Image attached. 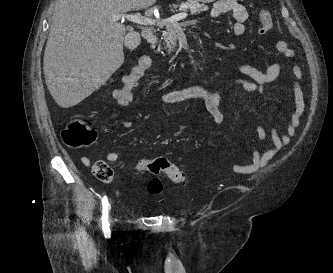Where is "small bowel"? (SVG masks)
Instances as JSON below:
<instances>
[{
	"mask_svg": "<svg viewBox=\"0 0 333 273\" xmlns=\"http://www.w3.org/2000/svg\"><path fill=\"white\" fill-rule=\"evenodd\" d=\"M227 13H231L234 18L230 25L231 32L235 35H243L247 30L246 21L249 17L248 9L240 0H218L213 4L211 9V16L213 18H219ZM276 49L287 59H293L295 57V51L290 48L288 43L284 40H279L276 43ZM140 59L148 58L142 57ZM150 68V62L133 63L131 70L128 71V76L124 79V84H121L120 88H117L114 92V98L120 107H129L132 105V91L138 90L139 78L144 77L147 69ZM236 68L241 76L231 78L216 89L209 90L200 86H188L161 93L158 96V101L164 104H178L188 100H201L213 122L215 124H221L225 119L220 108L221 96L224 91L229 88H238L247 93L261 95L264 92V85L277 79L281 73V66L278 63L271 64L266 69H260L254 65L239 62L236 64ZM290 77L294 102L288 117L285 132L279 135L276 128L272 127L270 130L273 144L272 148L262 154L258 150H255L253 152V162L251 165H235V169L246 173H253L262 169L276 157L283 147L288 145L294 137L305 109L304 95L300 85L303 74L297 64L291 65ZM100 122H105V112H100ZM121 124L127 128L131 126V123L128 121H122ZM256 132L260 140L265 139L266 132L260 124L256 125ZM118 158L119 155L116 152H110L106 156V160L109 163L116 162ZM81 161L85 166L91 165V159L89 157L84 156L81 158Z\"/></svg>",
	"mask_w": 333,
	"mask_h": 273,
	"instance_id": "small-bowel-1",
	"label": "small bowel"
}]
</instances>
